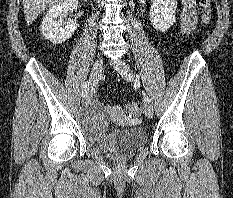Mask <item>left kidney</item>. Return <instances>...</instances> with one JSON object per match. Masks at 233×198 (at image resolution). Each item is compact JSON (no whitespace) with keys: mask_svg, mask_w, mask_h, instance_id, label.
Returning a JSON list of instances; mask_svg holds the SVG:
<instances>
[{"mask_svg":"<svg viewBox=\"0 0 233 198\" xmlns=\"http://www.w3.org/2000/svg\"><path fill=\"white\" fill-rule=\"evenodd\" d=\"M176 0H151L150 21L153 27L165 32L175 23Z\"/></svg>","mask_w":233,"mask_h":198,"instance_id":"5707ae66","label":"left kidney"}]
</instances>
